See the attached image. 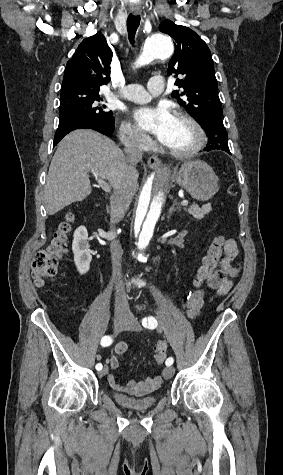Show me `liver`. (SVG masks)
Segmentation results:
<instances>
[{
  "instance_id": "obj_1",
  "label": "liver",
  "mask_w": 283,
  "mask_h": 475,
  "mask_svg": "<svg viewBox=\"0 0 283 475\" xmlns=\"http://www.w3.org/2000/svg\"><path fill=\"white\" fill-rule=\"evenodd\" d=\"M127 166L122 150L113 140L94 130H74L59 142L50 164L44 192L48 216L91 194L89 174L108 180L112 188L128 180L135 194L139 174H125Z\"/></svg>"
}]
</instances>
